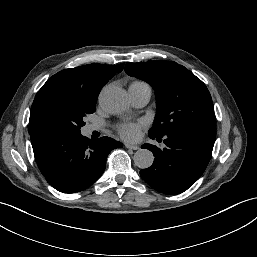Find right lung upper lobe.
I'll list each match as a JSON object with an SVG mask.
<instances>
[{
    "mask_svg": "<svg viewBox=\"0 0 257 257\" xmlns=\"http://www.w3.org/2000/svg\"><path fill=\"white\" fill-rule=\"evenodd\" d=\"M123 66L124 64L117 66L88 64L76 68L65 69L53 75L45 84H63L79 91L87 98L97 100L101 88L116 73L121 72L123 70Z\"/></svg>",
    "mask_w": 257,
    "mask_h": 257,
    "instance_id": "obj_1",
    "label": "right lung upper lobe"
}]
</instances>
